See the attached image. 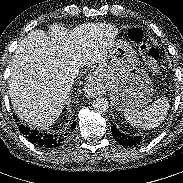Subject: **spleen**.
<instances>
[{
    "label": "spleen",
    "mask_w": 183,
    "mask_h": 183,
    "mask_svg": "<svg viewBox=\"0 0 183 183\" xmlns=\"http://www.w3.org/2000/svg\"><path fill=\"white\" fill-rule=\"evenodd\" d=\"M169 110V99L166 97L155 100L142 110L124 111L126 121L142 130L158 127L165 120Z\"/></svg>",
    "instance_id": "1"
}]
</instances>
